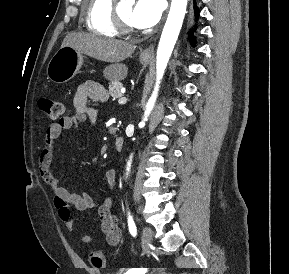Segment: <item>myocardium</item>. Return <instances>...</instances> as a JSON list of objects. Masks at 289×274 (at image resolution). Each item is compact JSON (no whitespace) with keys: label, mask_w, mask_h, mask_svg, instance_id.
Segmentation results:
<instances>
[{"label":"myocardium","mask_w":289,"mask_h":274,"mask_svg":"<svg viewBox=\"0 0 289 274\" xmlns=\"http://www.w3.org/2000/svg\"><path fill=\"white\" fill-rule=\"evenodd\" d=\"M113 19L115 27L119 31V33L131 35L136 32L135 28L121 17L117 6L113 7Z\"/></svg>","instance_id":"1"}]
</instances>
